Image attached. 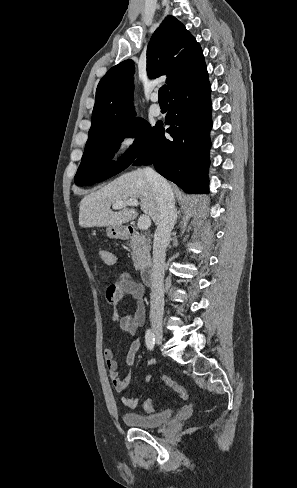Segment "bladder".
<instances>
[{
	"label": "bladder",
	"mask_w": 297,
	"mask_h": 488,
	"mask_svg": "<svg viewBox=\"0 0 297 488\" xmlns=\"http://www.w3.org/2000/svg\"><path fill=\"white\" fill-rule=\"evenodd\" d=\"M173 415L172 410H165L154 414H141L126 412L123 414V422L129 427L154 429L167 423Z\"/></svg>",
	"instance_id": "obj_1"
}]
</instances>
